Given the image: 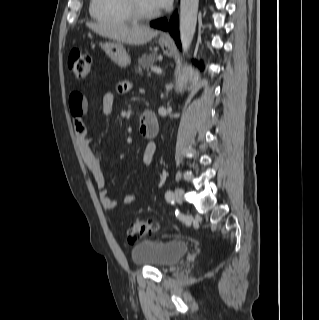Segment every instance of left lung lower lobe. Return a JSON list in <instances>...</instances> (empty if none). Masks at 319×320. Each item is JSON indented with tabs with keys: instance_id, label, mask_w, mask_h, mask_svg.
<instances>
[{
	"instance_id": "obj_1",
	"label": "left lung lower lobe",
	"mask_w": 319,
	"mask_h": 320,
	"mask_svg": "<svg viewBox=\"0 0 319 320\" xmlns=\"http://www.w3.org/2000/svg\"><path fill=\"white\" fill-rule=\"evenodd\" d=\"M150 25L154 28L168 30L170 34L175 38L177 45L181 48V44L179 41V31H178V15L175 13L168 23L167 19H159L156 21H152ZM200 68H202V64L200 63Z\"/></svg>"
}]
</instances>
